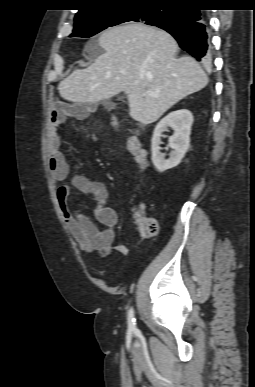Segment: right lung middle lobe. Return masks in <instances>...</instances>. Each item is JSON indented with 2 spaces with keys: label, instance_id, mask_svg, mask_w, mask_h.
Instances as JSON below:
<instances>
[{
  "label": "right lung middle lobe",
  "instance_id": "1",
  "mask_svg": "<svg viewBox=\"0 0 255 387\" xmlns=\"http://www.w3.org/2000/svg\"><path fill=\"white\" fill-rule=\"evenodd\" d=\"M177 18V9L160 10L159 6H123L111 8L96 14L75 20L70 37H91L108 27L124 22H143L152 26H161Z\"/></svg>",
  "mask_w": 255,
  "mask_h": 387
}]
</instances>
